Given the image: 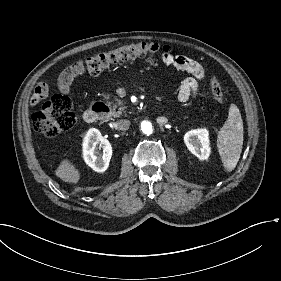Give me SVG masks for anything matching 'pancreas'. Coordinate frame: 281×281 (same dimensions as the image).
<instances>
[{
	"label": "pancreas",
	"instance_id": "obj_1",
	"mask_svg": "<svg viewBox=\"0 0 281 281\" xmlns=\"http://www.w3.org/2000/svg\"><path fill=\"white\" fill-rule=\"evenodd\" d=\"M117 105H118V111L113 109V118H118L122 116V113L125 112L127 109L124 103H118Z\"/></svg>",
	"mask_w": 281,
	"mask_h": 281
}]
</instances>
